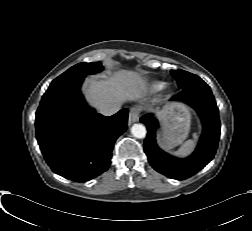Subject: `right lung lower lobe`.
<instances>
[{
	"label": "right lung lower lobe",
	"mask_w": 252,
	"mask_h": 231,
	"mask_svg": "<svg viewBox=\"0 0 252 231\" xmlns=\"http://www.w3.org/2000/svg\"><path fill=\"white\" fill-rule=\"evenodd\" d=\"M83 79L48 89L36 112L42 154L55 173L85 182L105 172L116 139L126 131L128 109L105 117L88 108Z\"/></svg>",
	"instance_id": "right-lung-lower-lobe-1"
}]
</instances>
